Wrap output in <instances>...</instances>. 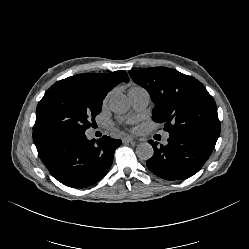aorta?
Wrapping results in <instances>:
<instances>
[{"instance_id": "aorta-1", "label": "aorta", "mask_w": 249, "mask_h": 249, "mask_svg": "<svg viewBox=\"0 0 249 249\" xmlns=\"http://www.w3.org/2000/svg\"><path fill=\"white\" fill-rule=\"evenodd\" d=\"M110 109L116 114L126 113L130 109V103L127 97L123 94H115L110 98L109 101ZM136 154L141 160L150 159L154 150L152 145L147 142L140 143L136 148Z\"/></svg>"}]
</instances>
